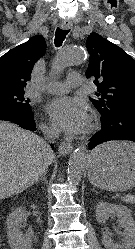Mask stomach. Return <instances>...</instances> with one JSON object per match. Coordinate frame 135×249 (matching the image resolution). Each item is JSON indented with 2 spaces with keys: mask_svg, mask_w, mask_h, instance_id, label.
I'll return each mask as SVG.
<instances>
[{
  "mask_svg": "<svg viewBox=\"0 0 135 249\" xmlns=\"http://www.w3.org/2000/svg\"><path fill=\"white\" fill-rule=\"evenodd\" d=\"M90 182L105 190L125 191L135 186V143L113 141L98 146L88 164Z\"/></svg>",
  "mask_w": 135,
  "mask_h": 249,
  "instance_id": "1",
  "label": "stomach"
}]
</instances>
